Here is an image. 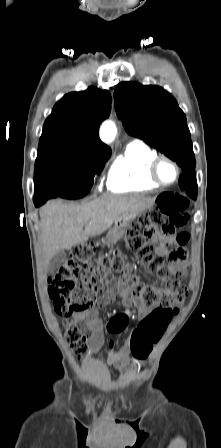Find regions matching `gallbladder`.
<instances>
[{"label": "gallbladder", "instance_id": "1", "mask_svg": "<svg viewBox=\"0 0 221 448\" xmlns=\"http://www.w3.org/2000/svg\"><path fill=\"white\" fill-rule=\"evenodd\" d=\"M66 256L67 254L65 250L59 251L57 254H55L48 264V271L53 272L54 270L58 269L61 263L66 259Z\"/></svg>", "mask_w": 221, "mask_h": 448}]
</instances>
